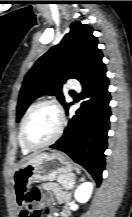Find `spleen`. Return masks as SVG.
<instances>
[{
    "instance_id": "obj_1",
    "label": "spleen",
    "mask_w": 132,
    "mask_h": 217,
    "mask_svg": "<svg viewBox=\"0 0 132 217\" xmlns=\"http://www.w3.org/2000/svg\"><path fill=\"white\" fill-rule=\"evenodd\" d=\"M76 171H77V173H80V169L79 168H76Z\"/></svg>"
}]
</instances>
